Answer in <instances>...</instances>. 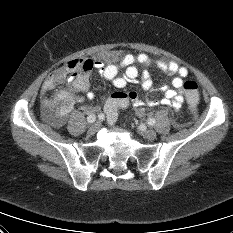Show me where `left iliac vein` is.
<instances>
[{
	"mask_svg": "<svg viewBox=\"0 0 233 233\" xmlns=\"http://www.w3.org/2000/svg\"><path fill=\"white\" fill-rule=\"evenodd\" d=\"M140 130L143 133V136L148 140H154L156 138V132L152 129H146L143 127H140Z\"/></svg>",
	"mask_w": 233,
	"mask_h": 233,
	"instance_id": "1",
	"label": "left iliac vein"
}]
</instances>
